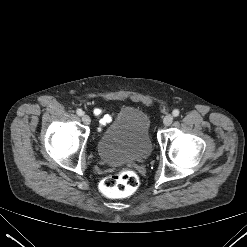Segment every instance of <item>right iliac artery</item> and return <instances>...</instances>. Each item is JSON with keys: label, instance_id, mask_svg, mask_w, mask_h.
<instances>
[{"label": "right iliac artery", "instance_id": "1", "mask_svg": "<svg viewBox=\"0 0 247 247\" xmlns=\"http://www.w3.org/2000/svg\"><path fill=\"white\" fill-rule=\"evenodd\" d=\"M76 113L79 115V116H82L83 115V111L81 109H77L76 110Z\"/></svg>", "mask_w": 247, "mask_h": 247}]
</instances>
